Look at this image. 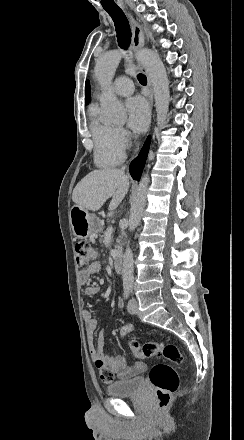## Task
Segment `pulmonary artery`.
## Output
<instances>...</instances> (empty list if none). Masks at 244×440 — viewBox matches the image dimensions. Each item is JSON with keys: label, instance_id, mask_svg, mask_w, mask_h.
<instances>
[{"label": "pulmonary artery", "instance_id": "pulmonary-artery-1", "mask_svg": "<svg viewBox=\"0 0 244 440\" xmlns=\"http://www.w3.org/2000/svg\"><path fill=\"white\" fill-rule=\"evenodd\" d=\"M115 89L121 96H132L134 90L132 75H117Z\"/></svg>", "mask_w": 244, "mask_h": 440}]
</instances>
